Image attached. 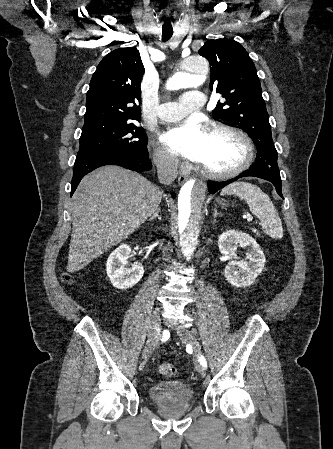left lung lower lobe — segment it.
<instances>
[{
  "label": "left lung lower lobe",
  "mask_w": 333,
  "mask_h": 449,
  "mask_svg": "<svg viewBox=\"0 0 333 449\" xmlns=\"http://www.w3.org/2000/svg\"><path fill=\"white\" fill-rule=\"evenodd\" d=\"M246 176H253V177H258V178H262L265 180H268L270 182L273 183V185L276 188L277 193L283 197L282 192H281V177H280V172H273L271 170H262V169H256L253 167H250L249 170L243 172L242 174H240L239 176L225 181V182H208V191L210 193H215L217 192L219 189L223 188L224 186L228 185L229 183H232L234 181H236L237 179L241 178V177H246Z\"/></svg>",
  "instance_id": "0a47b994"
}]
</instances>
